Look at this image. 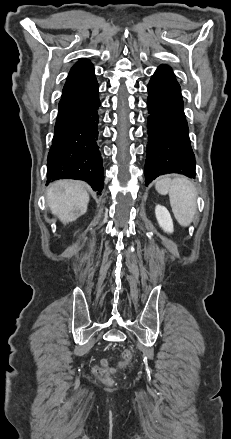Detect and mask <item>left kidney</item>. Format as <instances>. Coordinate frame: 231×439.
<instances>
[{
  "mask_svg": "<svg viewBox=\"0 0 231 439\" xmlns=\"http://www.w3.org/2000/svg\"><path fill=\"white\" fill-rule=\"evenodd\" d=\"M155 214L157 221L160 225V227L168 233L173 232V220L171 218V215L166 207L157 205L155 208Z\"/></svg>",
  "mask_w": 231,
  "mask_h": 439,
  "instance_id": "left-kidney-1",
  "label": "left kidney"
}]
</instances>
